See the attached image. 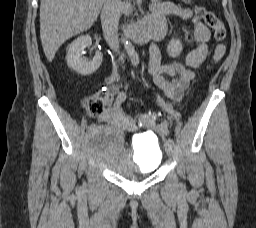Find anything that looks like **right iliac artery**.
<instances>
[{
  "label": "right iliac artery",
  "instance_id": "1",
  "mask_svg": "<svg viewBox=\"0 0 256 228\" xmlns=\"http://www.w3.org/2000/svg\"><path fill=\"white\" fill-rule=\"evenodd\" d=\"M96 128H97V126L95 125V124H91L89 127H88V130L89 131H95L96 130Z\"/></svg>",
  "mask_w": 256,
  "mask_h": 228
}]
</instances>
